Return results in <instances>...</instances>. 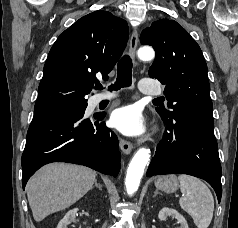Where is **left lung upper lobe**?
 Segmentation results:
<instances>
[{
  "label": "left lung upper lobe",
  "mask_w": 238,
  "mask_h": 228,
  "mask_svg": "<svg viewBox=\"0 0 238 228\" xmlns=\"http://www.w3.org/2000/svg\"><path fill=\"white\" fill-rule=\"evenodd\" d=\"M140 42L156 52L150 77L166 85L164 94L171 110L157 107L161 118L213 123L207 64L189 33L174 20L160 19L142 31Z\"/></svg>",
  "instance_id": "5c2ea615"
}]
</instances>
